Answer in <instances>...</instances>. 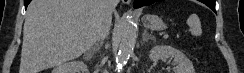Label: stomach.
Instances as JSON below:
<instances>
[{
    "mask_svg": "<svg viewBox=\"0 0 244 73\" xmlns=\"http://www.w3.org/2000/svg\"><path fill=\"white\" fill-rule=\"evenodd\" d=\"M143 25L154 31H162L166 29V25L157 15H145L142 18Z\"/></svg>",
    "mask_w": 244,
    "mask_h": 73,
    "instance_id": "stomach-1",
    "label": "stomach"
}]
</instances>
